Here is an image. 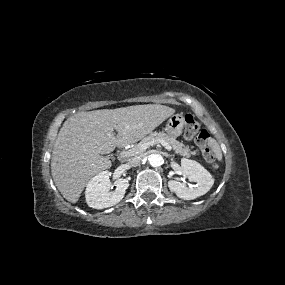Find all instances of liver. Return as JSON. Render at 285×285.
<instances>
[{
	"label": "liver",
	"instance_id": "liver-1",
	"mask_svg": "<svg viewBox=\"0 0 285 285\" xmlns=\"http://www.w3.org/2000/svg\"><path fill=\"white\" fill-rule=\"evenodd\" d=\"M174 112L165 105L146 104L82 111L69 117L51 157V174L62 196L76 203L91 177L112 166L101 154L141 140Z\"/></svg>",
	"mask_w": 285,
	"mask_h": 285
}]
</instances>
